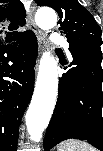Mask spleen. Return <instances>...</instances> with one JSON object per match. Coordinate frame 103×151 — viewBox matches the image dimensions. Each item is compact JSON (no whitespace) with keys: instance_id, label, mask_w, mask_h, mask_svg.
Returning <instances> with one entry per match:
<instances>
[{"instance_id":"spleen-1","label":"spleen","mask_w":103,"mask_h":151,"mask_svg":"<svg viewBox=\"0 0 103 151\" xmlns=\"http://www.w3.org/2000/svg\"><path fill=\"white\" fill-rule=\"evenodd\" d=\"M57 151H96V149L87 142L70 139L60 143Z\"/></svg>"}]
</instances>
